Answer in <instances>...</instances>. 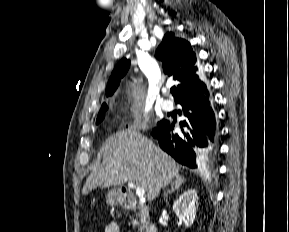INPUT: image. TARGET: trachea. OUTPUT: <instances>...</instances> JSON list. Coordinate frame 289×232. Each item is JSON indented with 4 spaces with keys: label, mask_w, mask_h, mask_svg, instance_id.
Wrapping results in <instances>:
<instances>
[{
    "label": "trachea",
    "mask_w": 289,
    "mask_h": 232,
    "mask_svg": "<svg viewBox=\"0 0 289 232\" xmlns=\"http://www.w3.org/2000/svg\"><path fill=\"white\" fill-rule=\"evenodd\" d=\"M174 90H175V88H171L170 92H171V93H173V92H174Z\"/></svg>",
    "instance_id": "trachea-1"
}]
</instances>
